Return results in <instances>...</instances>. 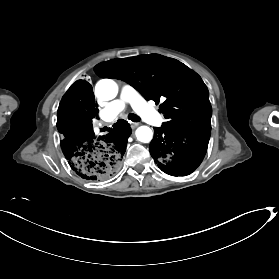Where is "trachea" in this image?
Here are the masks:
<instances>
[{"instance_id": "obj_1", "label": "trachea", "mask_w": 279, "mask_h": 279, "mask_svg": "<svg viewBox=\"0 0 279 279\" xmlns=\"http://www.w3.org/2000/svg\"><path fill=\"white\" fill-rule=\"evenodd\" d=\"M129 120L133 121V122H139L140 121V117L137 116L134 113H131L128 115Z\"/></svg>"}]
</instances>
